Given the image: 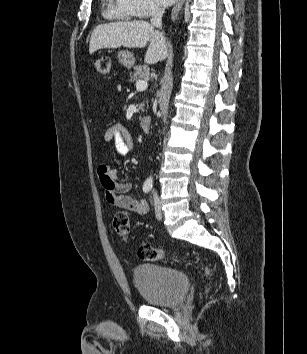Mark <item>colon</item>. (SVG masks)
<instances>
[{
  "label": "colon",
  "instance_id": "obj_1",
  "mask_svg": "<svg viewBox=\"0 0 307 354\" xmlns=\"http://www.w3.org/2000/svg\"><path fill=\"white\" fill-rule=\"evenodd\" d=\"M96 71L106 76L110 72L111 59L108 56H102L94 61ZM113 228L115 232L123 239H126L130 233L129 217L125 212H117L113 218ZM138 257L144 261L156 262L165 258V253L149 244H142L138 248ZM205 276L209 275L207 267L201 265Z\"/></svg>",
  "mask_w": 307,
  "mask_h": 354
}]
</instances>
